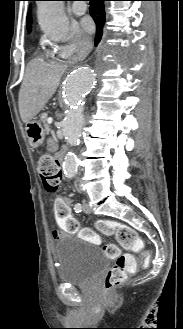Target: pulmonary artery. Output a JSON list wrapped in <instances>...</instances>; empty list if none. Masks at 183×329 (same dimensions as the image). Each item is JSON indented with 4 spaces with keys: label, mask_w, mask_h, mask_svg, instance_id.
I'll return each instance as SVG.
<instances>
[{
    "label": "pulmonary artery",
    "mask_w": 183,
    "mask_h": 329,
    "mask_svg": "<svg viewBox=\"0 0 183 329\" xmlns=\"http://www.w3.org/2000/svg\"><path fill=\"white\" fill-rule=\"evenodd\" d=\"M87 11V5L82 2H77L72 6V12L74 15L80 16Z\"/></svg>",
    "instance_id": "pulmonary-artery-1"
}]
</instances>
